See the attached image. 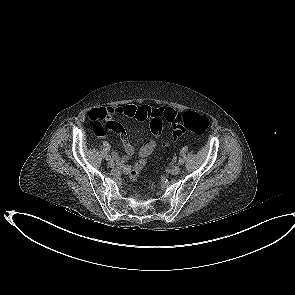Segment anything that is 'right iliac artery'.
Listing matches in <instances>:
<instances>
[{"instance_id": "82829eb1", "label": "right iliac artery", "mask_w": 295, "mask_h": 295, "mask_svg": "<svg viewBox=\"0 0 295 295\" xmlns=\"http://www.w3.org/2000/svg\"><path fill=\"white\" fill-rule=\"evenodd\" d=\"M107 160L112 161L111 156H107Z\"/></svg>"}]
</instances>
